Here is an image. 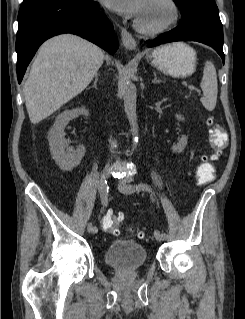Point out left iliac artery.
<instances>
[{"label": "left iliac artery", "mask_w": 245, "mask_h": 319, "mask_svg": "<svg viewBox=\"0 0 245 319\" xmlns=\"http://www.w3.org/2000/svg\"><path fill=\"white\" fill-rule=\"evenodd\" d=\"M144 189L147 190V191H150L149 187L147 185H145V184H142V183H139V184H136V185H127L126 186V190H129V191L144 190ZM161 235L164 238L167 237V234L165 232H162Z\"/></svg>", "instance_id": "obj_1"}]
</instances>
